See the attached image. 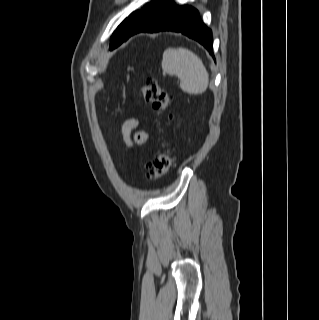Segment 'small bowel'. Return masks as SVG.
Here are the masks:
<instances>
[{
  "label": "small bowel",
  "mask_w": 319,
  "mask_h": 320,
  "mask_svg": "<svg viewBox=\"0 0 319 320\" xmlns=\"http://www.w3.org/2000/svg\"><path fill=\"white\" fill-rule=\"evenodd\" d=\"M138 121L135 119L126 120L121 127V134L127 146L143 145L147 142V133L137 130Z\"/></svg>",
  "instance_id": "small-bowel-1"
}]
</instances>
